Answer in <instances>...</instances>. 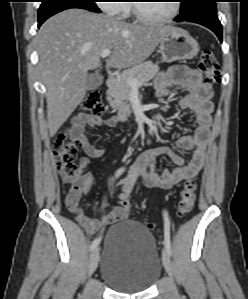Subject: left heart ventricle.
<instances>
[{"label": "left heart ventricle", "instance_id": "obj_1", "mask_svg": "<svg viewBox=\"0 0 248 299\" xmlns=\"http://www.w3.org/2000/svg\"><path fill=\"white\" fill-rule=\"evenodd\" d=\"M172 1H147L139 3L140 10L149 17H164L172 11Z\"/></svg>", "mask_w": 248, "mask_h": 299}]
</instances>
